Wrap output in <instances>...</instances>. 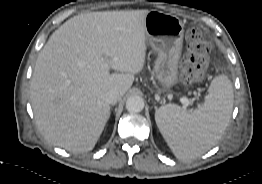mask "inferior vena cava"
<instances>
[{
    "label": "inferior vena cava",
    "mask_w": 262,
    "mask_h": 184,
    "mask_svg": "<svg viewBox=\"0 0 262 184\" xmlns=\"http://www.w3.org/2000/svg\"><path fill=\"white\" fill-rule=\"evenodd\" d=\"M120 99V94L117 90H109L106 93V101L109 104H115Z\"/></svg>",
    "instance_id": "1"
}]
</instances>
